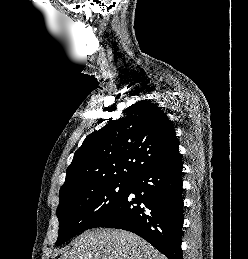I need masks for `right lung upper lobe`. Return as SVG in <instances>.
<instances>
[{"label": "right lung upper lobe", "mask_w": 248, "mask_h": 259, "mask_svg": "<svg viewBox=\"0 0 248 259\" xmlns=\"http://www.w3.org/2000/svg\"><path fill=\"white\" fill-rule=\"evenodd\" d=\"M91 133L66 171L59 198L76 187L106 181H131L148 168L177 158L174 127L157 104L141 100Z\"/></svg>", "instance_id": "cb5924a9"}]
</instances>
